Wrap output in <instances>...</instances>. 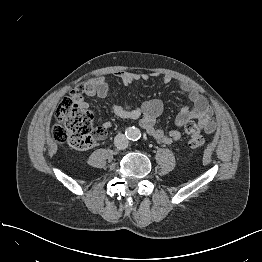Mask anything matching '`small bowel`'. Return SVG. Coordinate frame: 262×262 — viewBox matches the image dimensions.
Here are the masks:
<instances>
[{
  "label": "small bowel",
  "mask_w": 262,
  "mask_h": 262,
  "mask_svg": "<svg viewBox=\"0 0 262 262\" xmlns=\"http://www.w3.org/2000/svg\"><path fill=\"white\" fill-rule=\"evenodd\" d=\"M113 75L124 86L130 85L136 81H148L152 78L149 73H134L124 70H115ZM174 82L171 75H166L162 79L164 85H170ZM181 91L187 95L190 104L182 108L176 119L175 125L178 128L192 120L198 127L206 133H212L217 129V119L215 118L212 109L208 105L206 99L201 93L194 88L189 82L179 81ZM73 92L78 96L101 97L109 98L111 90L104 77L97 76L79 84L74 88ZM114 114L123 119L140 118L143 128L157 142L161 144L176 143L181 139L180 130H171L165 133L161 128L157 127L156 121L163 112V104L160 100L151 99L142 103L139 107H133L125 104L113 103L111 105ZM112 127V122L106 121L97 133L98 139H103L106 136L107 130Z\"/></svg>",
  "instance_id": "c3829d8e"
}]
</instances>
